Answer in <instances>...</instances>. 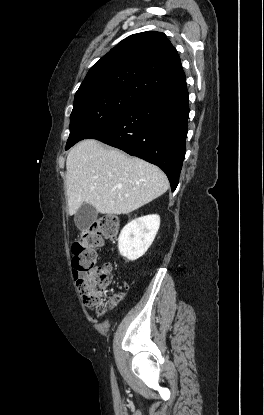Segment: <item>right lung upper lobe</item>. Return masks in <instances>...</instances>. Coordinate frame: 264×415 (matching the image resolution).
<instances>
[{
    "instance_id": "obj_1",
    "label": "right lung upper lobe",
    "mask_w": 264,
    "mask_h": 415,
    "mask_svg": "<svg viewBox=\"0 0 264 415\" xmlns=\"http://www.w3.org/2000/svg\"><path fill=\"white\" fill-rule=\"evenodd\" d=\"M186 80L175 47L161 32L133 34L89 70L75 98L111 91L142 98Z\"/></svg>"
}]
</instances>
